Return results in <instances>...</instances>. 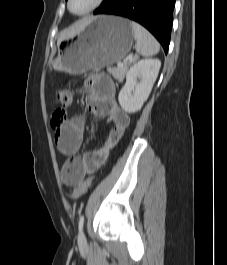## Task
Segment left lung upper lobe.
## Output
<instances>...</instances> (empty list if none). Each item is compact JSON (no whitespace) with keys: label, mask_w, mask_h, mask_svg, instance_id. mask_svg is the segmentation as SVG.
Listing matches in <instances>:
<instances>
[{"label":"left lung upper lobe","mask_w":227,"mask_h":265,"mask_svg":"<svg viewBox=\"0 0 227 265\" xmlns=\"http://www.w3.org/2000/svg\"><path fill=\"white\" fill-rule=\"evenodd\" d=\"M107 1H108V0H104L103 3H102V5H103L104 3H106Z\"/></svg>","instance_id":"1"}]
</instances>
